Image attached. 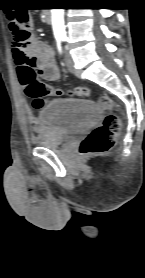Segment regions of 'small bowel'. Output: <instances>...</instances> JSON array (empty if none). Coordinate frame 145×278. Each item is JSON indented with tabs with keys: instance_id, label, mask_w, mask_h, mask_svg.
<instances>
[{
	"instance_id": "obj_1",
	"label": "small bowel",
	"mask_w": 145,
	"mask_h": 278,
	"mask_svg": "<svg viewBox=\"0 0 145 278\" xmlns=\"http://www.w3.org/2000/svg\"><path fill=\"white\" fill-rule=\"evenodd\" d=\"M33 44V48L26 50L15 42L12 43L11 52L17 67L19 85L22 87V79L34 71L45 80L58 81L61 73L55 62L52 48L36 41ZM31 122L36 120L32 118Z\"/></svg>"
}]
</instances>
